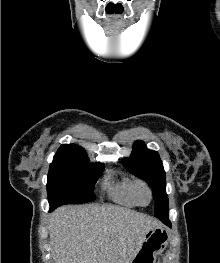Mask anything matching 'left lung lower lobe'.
Masks as SVG:
<instances>
[{
  "instance_id": "obj_1",
  "label": "left lung lower lobe",
  "mask_w": 220,
  "mask_h": 263,
  "mask_svg": "<svg viewBox=\"0 0 220 263\" xmlns=\"http://www.w3.org/2000/svg\"><path fill=\"white\" fill-rule=\"evenodd\" d=\"M164 224H166L167 226L171 227V222L168 219V214H166L165 216H157Z\"/></svg>"
}]
</instances>
